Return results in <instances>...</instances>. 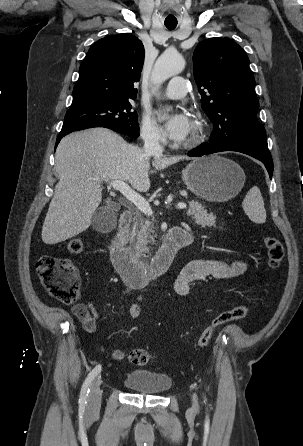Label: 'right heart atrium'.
<instances>
[{"label": "right heart atrium", "instance_id": "obj_1", "mask_svg": "<svg viewBox=\"0 0 303 446\" xmlns=\"http://www.w3.org/2000/svg\"><path fill=\"white\" fill-rule=\"evenodd\" d=\"M140 133L143 141L149 145H160L165 141L162 130L149 114L142 117Z\"/></svg>", "mask_w": 303, "mask_h": 446}]
</instances>
